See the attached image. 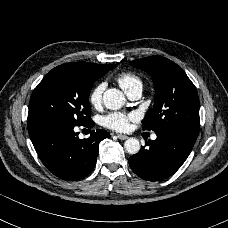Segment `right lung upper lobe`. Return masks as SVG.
I'll use <instances>...</instances> for the list:
<instances>
[{"label":"right lung upper lobe","mask_w":228,"mask_h":228,"mask_svg":"<svg viewBox=\"0 0 228 228\" xmlns=\"http://www.w3.org/2000/svg\"><path fill=\"white\" fill-rule=\"evenodd\" d=\"M83 63L89 64V65L94 66V67H107V66L111 65V64L98 65V64L87 63V62H83Z\"/></svg>","instance_id":"1"}]
</instances>
